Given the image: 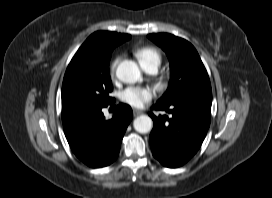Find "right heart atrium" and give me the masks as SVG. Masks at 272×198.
<instances>
[{"mask_svg": "<svg viewBox=\"0 0 272 198\" xmlns=\"http://www.w3.org/2000/svg\"><path fill=\"white\" fill-rule=\"evenodd\" d=\"M120 61V56H116L111 62H110V65H109V71H110V74L111 76H114L115 73H116V68H117V65Z\"/></svg>", "mask_w": 272, "mask_h": 198, "instance_id": "1", "label": "right heart atrium"}]
</instances>
